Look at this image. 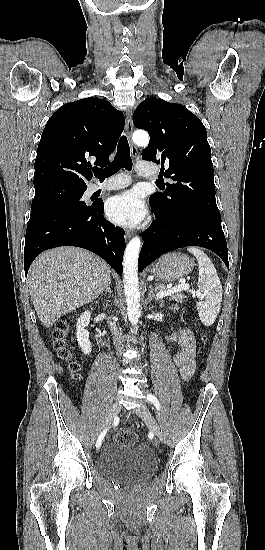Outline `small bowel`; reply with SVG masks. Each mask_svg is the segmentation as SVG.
<instances>
[{
    "mask_svg": "<svg viewBox=\"0 0 265 550\" xmlns=\"http://www.w3.org/2000/svg\"><path fill=\"white\" fill-rule=\"evenodd\" d=\"M170 342H178L180 350L173 355L174 364L178 367L182 379L191 377L195 369L196 342L192 333L181 329L177 334L171 335Z\"/></svg>",
    "mask_w": 265,
    "mask_h": 550,
    "instance_id": "c3829d8e",
    "label": "small bowel"
}]
</instances>
